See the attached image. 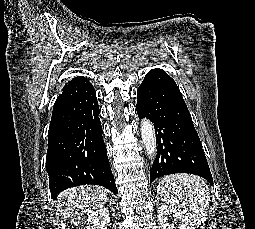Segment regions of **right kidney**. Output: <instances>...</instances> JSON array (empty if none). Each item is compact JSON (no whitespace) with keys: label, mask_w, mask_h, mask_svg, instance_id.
I'll return each instance as SVG.
<instances>
[{"label":"right kidney","mask_w":255,"mask_h":229,"mask_svg":"<svg viewBox=\"0 0 255 229\" xmlns=\"http://www.w3.org/2000/svg\"><path fill=\"white\" fill-rule=\"evenodd\" d=\"M87 226L84 229H107L110 213L106 208H99L88 215Z\"/></svg>","instance_id":"right-kidney-1"}]
</instances>
